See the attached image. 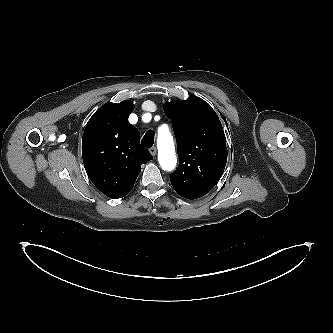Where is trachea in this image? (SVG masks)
Returning a JSON list of instances; mask_svg holds the SVG:
<instances>
[{
  "label": "trachea",
  "instance_id": "trachea-1",
  "mask_svg": "<svg viewBox=\"0 0 333 333\" xmlns=\"http://www.w3.org/2000/svg\"><path fill=\"white\" fill-rule=\"evenodd\" d=\"M154 136H155L154 131L152 130L147 131L144 137L142 138L141 141L142 145L145 147H152L154 143Z\"/></svg>",
  "mask_w": 333,
  "mask_h": 333
}]
</instances>
